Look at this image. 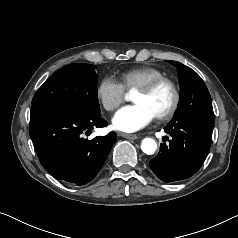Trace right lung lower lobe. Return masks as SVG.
<instances>
[{"mask_svg":"<svg viewBox=\"0 0 238 238\" xmlns=\"http://www.w3.org/2000/svg\"><path fill=\"white\" fill-rule=\"evenodd\" d=\"M100 113L67 107H32L29 133L42 166L56 179L77 185L99 172L117 134L88 140L94 128L105 127Z\"/></svg>","mask_w":238,"mask_h":238,"instance_id":"1","label":"right lung lower lobe"}]
</instances>
